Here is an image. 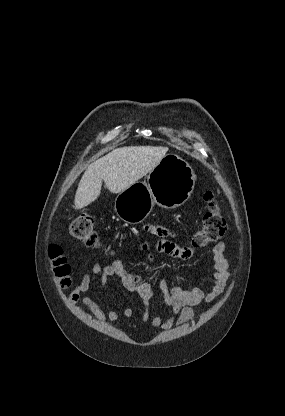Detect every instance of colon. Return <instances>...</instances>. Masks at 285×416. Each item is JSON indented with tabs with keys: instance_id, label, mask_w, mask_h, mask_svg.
<instances>
[{
	"instance_id": "colon-1",
	"label": "colon",
	"mask_w": 285,
	"mask_h": 416,
	"mask_svg": "<svg viewBox=\"0 0 285 416\" xmlns=\"http://www.w3.org/2000/svg\"><path fill=\"white\" fill-rule=\"evenodd\" d=\"M207 210L204 213L202 227L198 229L192 237L190 245L194 248H203L210 243L218 241L227 229L226 221L222 214V207L213 195L207 191L204 194ZM70 235L89 247L100 245L98 234L95 228L94 218L91 214H81L69 226ZM49 255L53 260L55 275L60 283L65 286L70 283V266L62 255L61 248L57 245L49 247Z\"/></svg>"
}]
</instances>
